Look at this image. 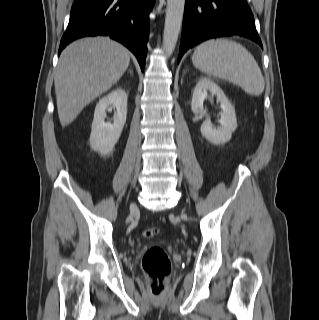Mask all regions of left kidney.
I'll return each mask as SVG.
<instances>
[{"label":"left kidney","instance_id":"5707ae66","mask_svg":"<svg viewBox=\"0 0 319 320\" xmlns=\"http://www.w3.org/2000/svg\"><path fill=\"white\" fill-rule=\"evenodd\" d=\"M208 91L217 97L221 103V113L219 123L221 127L214 128L211 120L206 119L201 125V134L211 143L224 144L230 141L232 132L237 128L235 109L230 103L222 89L211 79L201 78L196 84L193 92L191 110L194 114L203 115V101L208 95Z\"/></svg>","mask_w":319,"mask_h":320}]
</instances>
